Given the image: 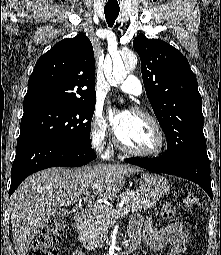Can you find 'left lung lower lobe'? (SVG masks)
<instances>
[{
    "label": "left lung lower lobe",
    "instance_id": "left-lung-lower-lobe-1",
    "mask_svg": "<svg viewBox=\"0 0 221 255\" xmlns=\"http://www.w3.org/2000/svg\"><path fill=\"white\" fill-rule=\"evenodd\" d=\"M125 162L191 180L200 185L212 198L210 161L206 150L190 151L175 160L162 155L155 158H127Z\"/></svg>",
    "mask_w": 221,
    "mask_h": 255
}]
</instances>
